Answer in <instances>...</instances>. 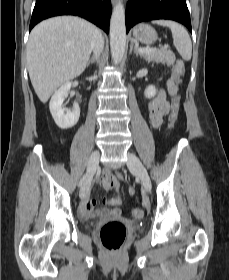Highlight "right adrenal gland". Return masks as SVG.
<instances>
[{
	"mask_svg": "<svg viewBox=\"0 0 229 280\" xmlns=\"http://www.w3.org/2000/svg\"><path fill=\"white\" fill-rule=\"evenodd\" d=\"M96 61H98V56H93L91 59H89L87 66H89L90 64L95 63Z\"/></svg>",
	"mask_w": 229,
	"mask_h": 280,
	"instance_id": "obj_1",
	"label": "right adrenal gland"
}]
</instances>
